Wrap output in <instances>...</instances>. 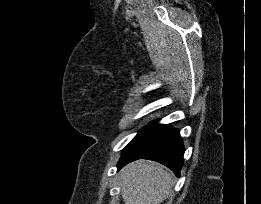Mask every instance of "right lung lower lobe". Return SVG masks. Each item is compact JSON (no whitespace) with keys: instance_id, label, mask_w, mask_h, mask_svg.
Masks as SVG:
<instances>
[{"instance_id":"obj_1","label":"right lung lower lobe","mask_w":261,"mask_h":204,"mask_svg":"<svg viewBox=\"0 0 261 204\" xmlns=\"http://www.w3.org/2000/svg\"><path fill=\"white\" fill-rule=\"evenodd\" d=\"M184 146L178 129L152 122L123 149L118 169L137 159H150L170 168L177 176L183 164Z\"/></svg>"}]
</instances>
